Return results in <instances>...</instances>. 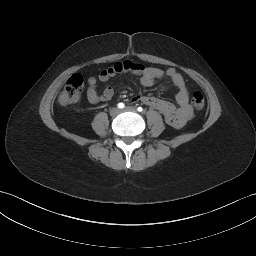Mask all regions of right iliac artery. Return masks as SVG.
<instances>
[{
	"mask_svg": "<svg viewBox=\"0 0 256 256\" xmlns=\"http://www.w3.org/2000/svg\"><path fill=\"white\" fill-rule=\"evenodd\" d=\"M117 106H118V108H120V109H122V108H124V107H125L124 103H122V102H121V103H119Z\"/></svg>",
	"mask_w": 256,
	"mask_h": 256,
	"instance_id": "1",
	"label": "right iliac artery"
}]
</instances>
